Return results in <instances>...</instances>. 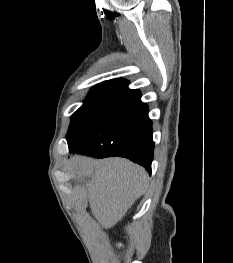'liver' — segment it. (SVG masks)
<instances>
[{
    "label": "liver",
    "mask_w": 233,
    "mask_h": 263,
    "mask_svg": "<svg viewBox=\"0 0 233 263\" xmlns=\"http://www.w3.org/2000/svg\"><path fill=\"white\" fill-rule=\"evenodd\" d=\"M70 168L78 178H91L86 188L74 189L76 207H86L89 202L93 216L106 229L121 220L148 189L145 169L124 158L93 160L75 155Z\"/></svg>",
    "instance_id": "6515ba94"
}]
</instances>
